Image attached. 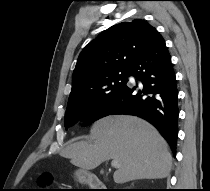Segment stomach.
<instances>
[{
	"instance_id": "0dacf381",
	"label": "stomach",
	"mask_w": 210,
	"mask_h": 191,
	"mask_svg": "<svg viewBox=\"0 0 210 191\" xmlns=\"http://www.w3.org/2000/svg\"><path fill=\"white\" fill-rule=\"evenodd\" d=\"M75 176H76L77 180H78L80 183H82V184L88 183V182L90 181V179H91V174L88 173V172L85 171V170H82V169L77 170V171L75 172Z\"/></svg>"
}]
</instances>
